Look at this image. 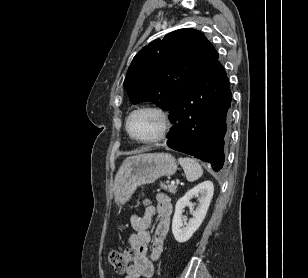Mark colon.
<instances>
[{
  "label": "colon",
  "instance_id": "obj_1",
  "mask_svg": "<svg viewBox=\"0 0 308 278\" xmlns=\"http://www.w3.org/2000/svg\"><path fill=\"white\" fill-rule=\"evenodd\" d=\"M134 254V250L129 248L112 251L109 255V263L118 273H123L131 264Z\"/></svg>",
  "mask_w": 308,
  "mask_h": 278
}]
</instances>
